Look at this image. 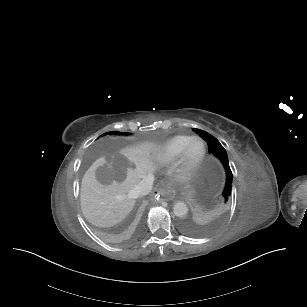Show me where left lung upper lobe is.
<instances>
[{"instance_id":"left-lung-upper-lobe-1","label":"left lung upper lobe","mask_w":307,"mask_h":307,"mask_svg":"<svg viewBox=\"0 0 307 307\" xmlns=\"http://www.w3.org/2000/svg\"><path fill=\"white\" fill-rule=\"evenodd\" d=\"M194 131L197 134H199L207 142L209 151L212 152L214 155H216L221 160V162L223 163L225 167L226 174H227L226 186L218 202L219 207L223 208L231 196V188H232V171L229 166V161H228L226 150L220 144V142L215 137L210 135L209 133L203 130H200V129H194ZM215 225L216 224H213L211 227L207 229H198V228L193 227L192 225L186 224L184 228L186 231L193 233V234H203L213 229Z\"/></svg>"}]
</instances>
